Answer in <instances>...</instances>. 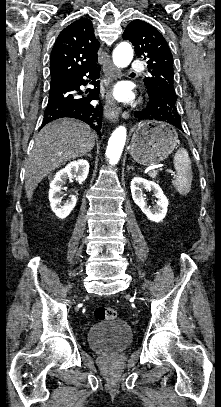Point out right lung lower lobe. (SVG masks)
<instances>
[{"label": "right lung lower lobe", "mask_w": 221, "mask_h": 407, "mask_svg": "<svg viewBox=\"0 0 221 407\" xmlns=\"http://www.w3.org/2000/svg\"><path fill=\"white\" fill-rule=\"evenodd\" d=\"M100 69V65L96 63L89 69L50 86L42 127L58 118L70 117L84 121L100 134L103 108L101 104L91 103L99 98ZM84 76L89 80H85ZM88 82L94 85V88L81 91L80 86Z\"/></svg>", "instance_id": "obj_1"}]
</instances>
